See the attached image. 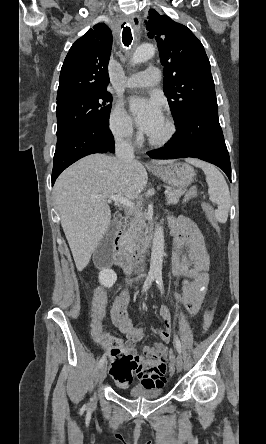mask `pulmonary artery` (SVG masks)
Masks as SVG:
<instances>
[{
	"instance_id": "e3ab8cb5",
	"label": "pulmonary artery",
	"mask_w": 266,
	"mask_h": 444,
	"mask_svg": "<svg viewBox=\"0 0 266 444\" xmlns=\"http://www.w3.org/2000/svg\"><path fill=\"white\" fill-rule=\"evenodd\" d=\"M160 79V69L156 66H150L145 71L129 76L125 85L129 88L148 87L156 85Z\"/></svg>"
}]
</instances>
